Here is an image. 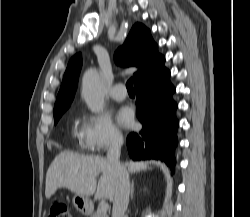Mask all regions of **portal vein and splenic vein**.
Returning a JSON list of instances; mask_svg holds the SVG:
<instances>
[{
  "label": "portal vein and splenic vein",
  "mask_w": 250,
  "mask_h": 217,
  "mask_svg": "<svg viewBox=\"0 0 250 217\" xmlns=\"http://www.w3.org/2000/svg\"><path fill=\"white\" fill-rule=\"evenodd\" d=\"M108 208H109V205L107 203H103L101 204L99 209L101 212H107Z\"/></svg>",
  "instance_id": "18ae733b"
}]
</instances>
